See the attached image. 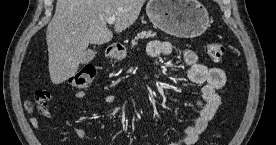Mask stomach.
Masks as SVG:
<instances>
[{"instance_id": "0dacf381", "label": "stomach", "mask_w": 276, "mask_h": 145, "mask_svg": "<svg viewBox=\"0 0 276 145\" xmlns=\"http://www.w3.org/2000/svg\"><path fill=\"white\" fill-rule=\"evenodd\" d=\"M146 13L155 28L180 38L200 36L210 21L207 9L198 0H149ZM111 56L122 58L114 50Z\"/></svg>"}]
</instances>
